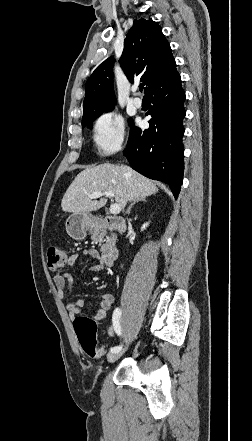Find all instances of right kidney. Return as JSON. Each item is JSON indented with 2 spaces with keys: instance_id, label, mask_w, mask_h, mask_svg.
<instances>
[{
  "instance_id": "obj_1",
  "label": "right kidney",
  "mask_w": 252,
  "mask_h": 441,
  "mask_svg": "<svg viewBox=\"0 0 252 441\" xmlns=\"http://www.w3.org/2000/svg\"><path fill=\"white\" fill-rule=\"evenodd\" d=\"M149 223H144L143 226L141 227V231L145 230L146 227H148Z\"/></svg>"
}]
</instances>
